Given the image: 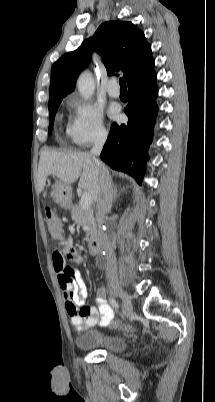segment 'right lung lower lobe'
Instances as JSON below:
<instances>
[{
  "mask_svg": "<svg viewBox=\"0 0 215 402\" xmlns=\"http://www.w3.org/2000/svg\"><path fill=\"white\" fill-rule=\"evenodd\" d=\"M129 94L124 109L129 121L112 124L100 157L113 169L133 176L141 184L158 110L156 74L131 85Z\"/></svg>",
  "mask_w": 215,
  "mask_h": 402,
  "instance_id": "1",
  "label": "right lung lower lobe"
}]
</instances>
